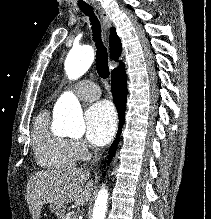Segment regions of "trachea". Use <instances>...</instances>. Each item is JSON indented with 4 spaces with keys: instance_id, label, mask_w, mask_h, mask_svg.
Segmentation results:
<instances>
[{
    "instance_id": "1",
    "label": "trachea",
    "mask_w": 211,
    "mask_h": 219,
    "mask_svg": "<svg viewBox=\"0 0 211 219\" xmlns=\"http://www.w3.org/2000/svg\"><path fill=\"white\" fill-rule=\"evenodd\" d=\"M80 9L86 16L89 17L91 23L93 40L97 49L95 60L97 73L101 78L108 79L110 75L108 66V54L107 49L102 41L100 22L90 5H80Z\"/></svg>"
}]
</instances>
